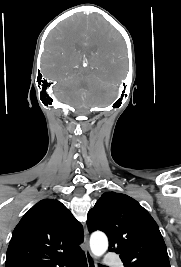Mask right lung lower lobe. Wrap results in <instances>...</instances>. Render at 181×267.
Segmentation results:
<instances>
[{
  "label": "right lung lower lobe",
  "instance_id": "98d812e1",
  "mask_svg": "<svg viewBox=\"0 0 181 267\" xmlns=\"http://www.w3.org/2000/svg\"><path fill=\"white\" fill-rule=\"evenodd\" d=\"M63 267H88L84 252L68 261Z\"/></svg>",
  "mask_w": 181,
  "mask_h": 267
}]
</instances>
